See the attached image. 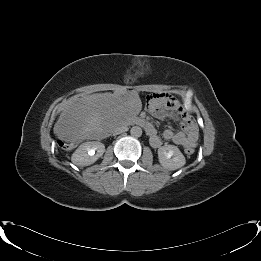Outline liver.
Instances as JSON below:
<instances>
[{
  "mask_svg": "<svg viewBox=\"0 0 261 261\" xmlns=\"http://www.w3.org/2000/svg\"><path fill=\"white\" fill-rule=\"evenodd\" d=\"M139 110L137 92L125 89L115 93H96L80 98L63 111L54 125L59 139L80 142L106 136L112 129L122 127Z\"/></svg>",
  "mask_w": 261,
  "mask_h": 261,
  "instance_id": "liver-1",
  "label": "liver"
}]
</instances>
